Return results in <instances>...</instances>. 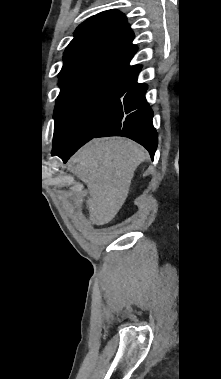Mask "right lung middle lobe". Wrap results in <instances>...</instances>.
<instances>
[{
  "label": "right lung middle lobe",
  "mask_w": 221,
  "mask_h": 379,
  "mask_svg": "<svg viewBox=\"0 0 221 379\" xmlns=\"http://www.w3.org/2000/svg\"><path fill=\"white\" fill-rule=\"evenodd\" d=\"M122 80L100 79L60 92L54 110L53 143L91 139L114 111Z\"/></svg>",
  "instance_id": "right-lung-middle-lobe-1"
}]
</instances>
